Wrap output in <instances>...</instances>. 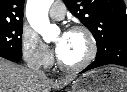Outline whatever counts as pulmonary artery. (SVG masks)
<instances>
[{"mask_svg":"<svg viewBox=\"0 0 127 92\" xmlns=\"http://www.w3.org/2000/svg\"><path fill=\"white\" fill-rule=\"evenodd\" d=\"M65 6L61 1H55L52 3L50 9H49V15L53 19L60 20L65 16Z\"/></svg>","mask_w":127,"mask_h":92,"instance_id":"e3ab8cb5","label":"pulmonary artery"}]
</instances>
